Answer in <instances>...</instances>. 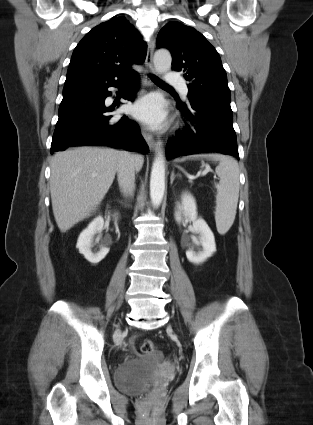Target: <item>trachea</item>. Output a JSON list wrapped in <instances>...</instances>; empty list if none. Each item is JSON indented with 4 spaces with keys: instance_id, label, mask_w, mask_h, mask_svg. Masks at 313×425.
I'll return each mask as SVG.
<instances>
[{
    "instance_id": "trachea-1",
    "label": "trachea",
    "mask_w": 313,
    "mask_h": 425,
    "mask_svg": "<svg viewBox=\"0 0 313 425\" xmlns=\"http://www.w3.org/2000/svg\"><path fill=\"white\" fill-rule=\"evenodd\" d=\"M151 79L153 80V82L159 86H164V87H170L168 84H166L165 82H163L162 80H160L158 77L151 75Z\"/></svg>"
}]
</instances>
